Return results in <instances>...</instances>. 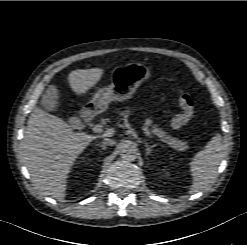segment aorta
<instances>
[{"label":"aorta","mask_w":247,"mask_h":245,"mask_svg":"<svg viewBox=\"0 0 247 245\" xmlns=\"http://www.w3.org/2000/svg\"><path fill=\"white\" fill-rule=\"evenodd\" d=\"M120 156L123 160L132 162L137 158V151L133 146L129 144H124L122 146Z\"/></svg>","instance_id":"1"}]
</instances>
